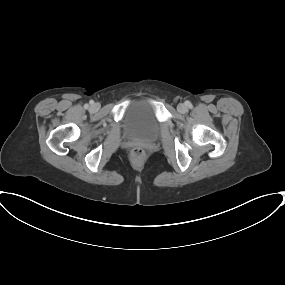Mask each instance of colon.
Segmentation results:
<instances>
[{
  "label": "colon",
  "instance_id": "5ec220e1",
  "mask_svg": "<svg viewBox=\"0 0 285 285\" xmlns=\"http://www.w3.org/2000/svg\"><path fill=\"white\" fill-rule=\"evenodd\" d=\"M132 155L133 157L135 158H141L144 156V150L141 148V147H135L133 150H132Z\"/></svg>",
  "mask_w": 285,
  "mask_h": 285
}]
</instances>
